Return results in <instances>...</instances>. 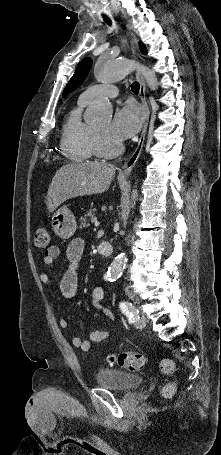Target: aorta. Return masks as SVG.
Masks as SVG:
<instances>
[{
  "instance_id": "obj_1",
  "label": "aorta",
  "mask_w": 221,
  "mask_h": 455,
  "mask_svg": "<svg viewBox=\"0 0 221 455\" xmlns=\"http://www.w3.org/2000/svg\"><path fill=\"white\" fill-rule=\"evenodd\" d=\"M137 68V64L128 59L120 60H102L96 67L95 77L99 82L110 83L117 82L124 79L130 72ZM141 72L144 76L150 89L157 88V78L155 73L146 66H141ZM112 116L111 103L105 99L94 100L86 113V121L90 124L100 123L109 119ZM138 197L137 189L132 190L131 193V208L134 207V202ZM127 263V256L124 252L120 253L107 271V277L110 280L116 279L120 276Z\"/></svg>"
}]
</instances>
